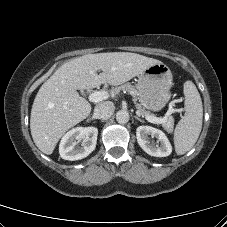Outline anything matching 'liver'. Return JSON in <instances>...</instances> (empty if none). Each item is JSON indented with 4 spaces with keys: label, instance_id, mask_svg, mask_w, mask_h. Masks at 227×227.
<instances>
[{
    "label": "liver",
    "instance_id": "liver-1",
    "mask_svg": "<svg viewBox=\"0 0 227 227\" xmlns=\"http://www.w3.org/2000/svg\"><path fill=\"white\" fill-rule=\"evenodd\" d=\"M159 63L129 52L88 54L66 62L40 87L34 99L30 129L35 145L44 154H52L63 134L90 115V103L76 90L101 84L117 86ZM99 70L102 72L98 74Z\"/></svg>",
    "mask_w": 227,
    "mask_h": 227
}]
</instances>
